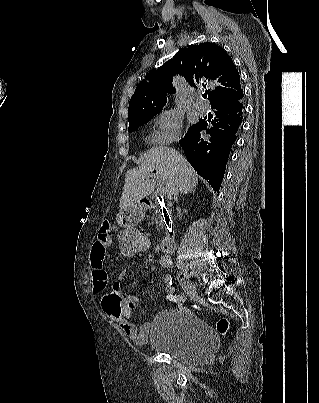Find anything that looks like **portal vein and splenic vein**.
I'll return each instance as SVG.
<instances>
[{"mask_svg": "<svg viewBox=\"0 0 319 403\" xmlns=\"http://www.w3.org/2000/svg\"><path fill=\"white\" fill-rule=\"evenodd\" d=\"M158 183H159V191H160V193L164 194L167 191V189H166V187L163 186L164 181L162 180V178L158 179Z\"/></svg>", "mask_w": 319, "mask_h": 403, "instance_id": "18ae733b", "label": "portal vein and splenic vein"}]
</instances>
